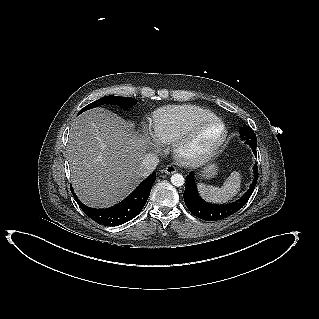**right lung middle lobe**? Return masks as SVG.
I'll return each mask as SVG.
<instances>
[{"label":"right lung middle lobe","instance_id":"dd1d6c3e","mask_svg":"<svg viewBox=\"0 0 319 319\" xmlns=\"http://www.w3.org/2000/svg\"><path fill=\"white\" fill-rule=\"evenodd\" d=\"M136 102H137V100L132 98V97L106 96V97L100 98L97 101H94L91 104L87 105L82 110H80V112L78 114H80L88 109L95 108V107H98V106L103 105V104L118 105L122 108L127 109V108L132 107L134 104H136Z\"/></svg>","mask_w":319,"mask_h":319}]
</instances>
